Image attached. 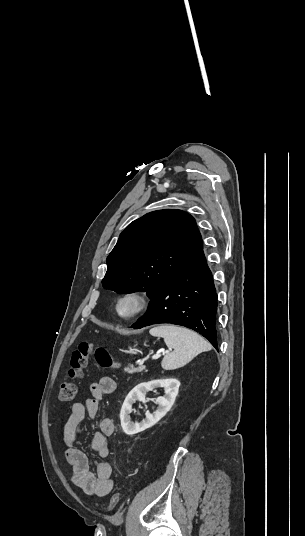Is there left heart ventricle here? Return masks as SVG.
Instances as JSON below:
<instances>
[{
  "label": "left heart ventricle",
  "instance_id": "obj_1",
  "mask_svg": "<svg viewBox=\"0 0 305 536\" xmlns=\"http://www.w3.org/2000/svg\"><path fill=\"white\" fill-rule=\"evenodd\" d=\"M139 306V302L134 297H127L119 302V310L123 315H130Z\"/></svg>",
  "mask_w": 305,
  "mask_h": 536
}]
</instances>
